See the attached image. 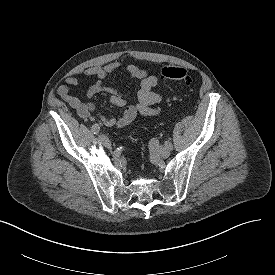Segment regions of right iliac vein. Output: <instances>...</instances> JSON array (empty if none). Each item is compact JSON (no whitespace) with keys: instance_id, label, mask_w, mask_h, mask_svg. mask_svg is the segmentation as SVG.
<instances>
[{"instance_id":"63e3f726","label":"right iliac vein","mask_w":275,"mask_h":275,"mask_svg":"<svg viewBox=\"0 0 275 275\" xmlns=\"http://www.w3.org/2000/svg\"><path fill=\"white\" fill-rule=\"evenodd\" d=\"M99 140L105 147L111 148V142L106 135H103V134L99 135Z\"/></svg>"}]
</instances>
